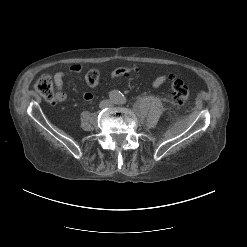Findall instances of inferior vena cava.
Returning <instances> with one entry per match:
<instances>
[{"label":"inferior vena cava","mask_w":247,"mask_h":247,"mask_svg":"<svg viewBox=\"0 0 247 247\" xmlns=\"http://www.w3.org/2000/svg\"><path fill=\"white\" fill-rule=\"evenodd\" d=\"M111 104V102L109 100H102L99 104V107L100 108H106V107H109Z\"/></svg>","instance_id":"obj_1"}]
</instances>
